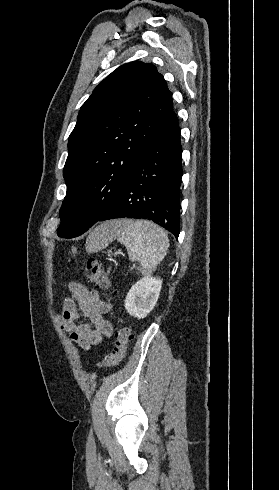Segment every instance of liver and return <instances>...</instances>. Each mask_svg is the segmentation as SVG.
Segmentation results:
<instances>
[{"mask_svg":"<svg viewBox=\"0 0 279 490\" xmlns=\"http://www.w3.org/2000/svg\"><path fill=\"white\" fill-rule=\"evenodd\" d=\"M104 228H106V230H108V226H109V222H105V224H103Z\"/></svg>","mask_w":279,"mask_h":490,"instance_id":"6515ba94","label":"liver"}]
</instances>
